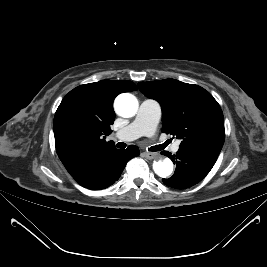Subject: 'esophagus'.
<instances>
[{
    "instance_id": "esophagus-1",
    "label": "esophagus",
    "mask_w": 267,
    "mask_h": 267,
    "mask_svg": "<svg viewBox=\"0 0 267 267\" xmlns=\"http://www.w3.org/2000/svg\"><path fill=\"white\" fill-rule=\"evenodd\" d=\"M143 155L147 158V159H156L158 157V155L156 153H152V152H144Z\"/></svg>"
}]
</instances>
